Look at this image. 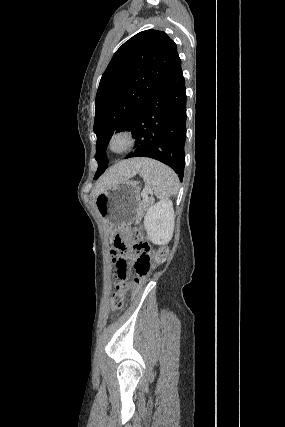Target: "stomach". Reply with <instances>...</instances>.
Here are the masks:
<instances>
[{
    "label": "stomach",
    "instance_id": "stomach-1",
    "mask_svg": "<svg viewBox=\"0 0 285 427\" xmlns=\"http://www.w3.org/2000/svg\"><path fill=\"white\" fill-rule=\"evenodd\" d=\"M95 205L106 229L114 233L137 218L140 206L138 184L130 180L115 183L97 195Z\"/></svg>",
    "mask_w": 285,
    "mask_h": 427
}]
</instances>
